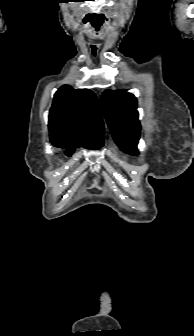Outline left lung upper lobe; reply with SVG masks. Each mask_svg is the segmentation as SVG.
<instances>
[{"mask_svg":"<svg viewBox=\"0 0 194 336\" xmlns=\"http://www.w3.org/2000/svg\"><path fill=\"white\" fill-rule=\"evenodd\" d=\"M101 105L116 143L135 154L141 125L134 95L121 90H106L101 96Z\"/></svg>","mask_w":194,"mask_h":336,"instance_id":"obj_1","label":"left lung upper lobe"}]
</instances>
